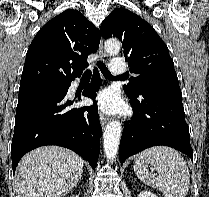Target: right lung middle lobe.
I'll use <instances>...</instances> for the list:
<instances>
[{"instance_id": "dd1d6c3e", "label": "right lung middle lobe", "mask_w": 209, "mask_h": 197, "mask_svg": "<svg viewBox=\"0 0 209 197\" xmlns=\"http://www.w3.org/2000/svg\"><path fill=\"white\" fill-rule=\"evenodd\" d=\"M67 85H42L19 89L18 102L28 100L33 97L60 93L65 90Z\"/></svg>"}]
</instances>
